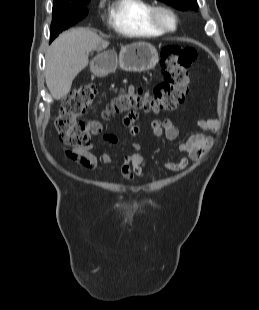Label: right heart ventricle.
I'll use <instances>...</instances> for the list:
<instances>
[{
  "label": "right heart ventricle",
  "mask_w": 259,
  "mask_h": 310,
  "mask_svg": "<svg viewBox=\"0 0 259 310\" xmlns=\"http://www.w3.org/2000/svg\"><path fill=\"white\" fill-rule=\"evenodd\" d=\"M153 5L148 0H112L108 9V24L118 33L136 38L158 37L165 33L149 19Z\"/></svg>",
  "instance_id": "obj_1"
}]
</instances>
